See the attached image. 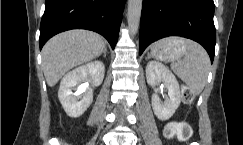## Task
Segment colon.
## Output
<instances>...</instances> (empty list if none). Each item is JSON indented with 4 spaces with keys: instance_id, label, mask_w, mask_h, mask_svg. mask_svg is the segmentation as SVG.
<instances>
[{
    "instance_id": "1",
    "label": "colon",
    "mask_w": 243,
    "mask_h": 145,
    "mask_svg": "<svg viewBox=\"0 0 243 145\" xmlns=\"http://www.w3.org/2000/svg\"><path fill=\"white\" fill-rule=\"evenodd\" d=\"M194 100V93L188 87L182 89V101L184 104H191ZM191 128L186 123H170L165 128L167 138L177 137L186 140L191 136Z\"/></svg>"
}]
</instances>
